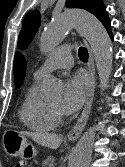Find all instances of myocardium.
Masks as SVG:
<instances>
[{"label": "myocardium", "instance_id": "obj_1", "mask_svg": "<svg viewBox=\"0 0 125 167\" xmlns=\"http://www.w3.org/2000/svg\"><path fill=\"white\" fill-rule=\"evenodd\" d=\"M47 106H48L50 112H51V113L53 114V116L55 117L56 121H60V120H61V114H60L59 109L52 107V106L49 105L48 103H47Z\"/></svg>", "mask_w": 125, "mask_h": 167}]
</instances>
